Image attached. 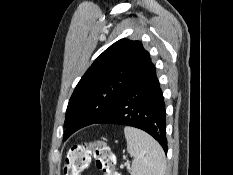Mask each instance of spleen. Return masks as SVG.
I'll list each match as a JSON object with an SVG mask.
<instances>
[{"instance_id":"3e777b00","label":"spleen","mask_w":233,"mask_h":175,"mask_svg":"<svg viewBox=\"0 0 233 175\" xmlns=\"http://www.w3.org/2000/svg\"><path fill=\"white\" fill-rule=\"evenodd\" d=\"M127 151L133 157L131 175H165V154L159 143L146 132L125 127Z\"/></svg>"}]
</instances>
